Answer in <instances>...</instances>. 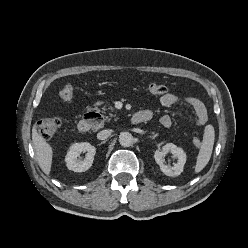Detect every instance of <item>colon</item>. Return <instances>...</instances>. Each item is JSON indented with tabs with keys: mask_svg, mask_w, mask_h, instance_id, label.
Here are the masks:
<instances>
[{
	"mask_svg": "<svg viewBox=\"0 0 248 248\" xmlns=\"http://www.w3.org/2000/svg\"><path fill=\"white\" fill-rule=\"evenodd\" d=\"M148 91L152 95H164L167 93L168 88L164 84L151 83L148 86ZM59 96L64 101H71L74 96L73 87L71 85L64 86L60 90ZM59 127H60V120L58 118H45L40 120L37 124L39 133L45 139H50L54 137L57 134ZM193 144L196 148H200L201 140L195 137L193 138Z\"/></svg>",
	"mask_w": 248,
	"mask_h": 248,
	"instance_id": "obj_1",
	"label": "colon"
}]
</instances>
